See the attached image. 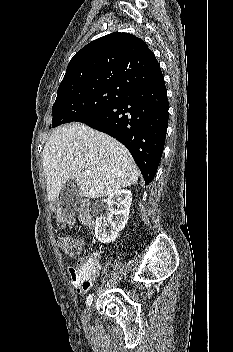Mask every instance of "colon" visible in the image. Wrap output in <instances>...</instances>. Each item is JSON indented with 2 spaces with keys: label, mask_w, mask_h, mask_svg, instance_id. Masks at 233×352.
Masks as SVG:
<instances>
[{
  "label": "colon",
  "mask_w": 233,
  "mask_h": 352,
  "mask_svg": "<svg viewBox=\"0 0 233 352\" xmlns=\"http://www.w3.org/2000/svg\"><path fill=\"white\" fill-rule=\"evenodd\" d=\"M78 220L83 225L92 226L94 224L93 216L86 204H83ZM60 221L62 222L63 218H60ZM59 245L63 252L70 257H77L83 249V242L81 240L70 237H62L59 240ZM98 271V264L89 258L79 261L78 264L74 266V275L84 280L92 277Z\"/></svg>",
  "instance_id": "obj_1"
}]
</instances>
